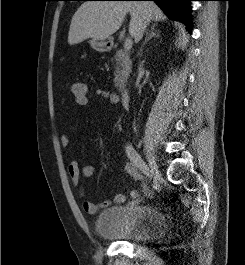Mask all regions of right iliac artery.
<instances>
[{"instance_id":"82829eb1","label":"right iliac artery","mask_w":245,"mask_h":265,"mask_svg":"<svg viewBox=\"0 0 245 265\" xmlns=\"http://www.w3.org/2000/svg\"><path fill=\"white\" fill-rule=\"evenodd\" d=\"M126 154L128 156V158L130 159V161L137 167L139 168L142 173L146 176V177H151L150 173H149V168L148 166L145 164V162L141 159V157L139 156V154L136 152V150L133 148L132 145L128 144L126 146ZM140 202V200H136L133 201L132 204L134 203H138Z\"/></svg>"}]
</instances>
